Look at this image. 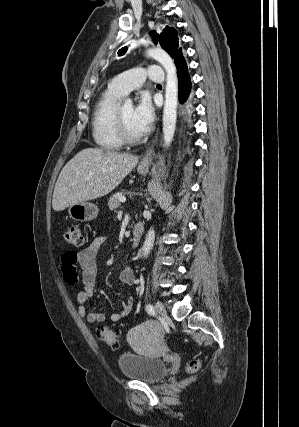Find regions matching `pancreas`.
Instances as JSON below:
<instances>
[{
	"mask_svg": "<svg viewBox=\"0 0 299 427\" xmlns=\"http://www.w3.org/2000/svg\"><path fill=\"white\" fill-rule=\"evenodd\" d=\"M121 197L120 194H113L108 202V207L110 210L114 211L116 210L119 206H120V200L119 198Z\"/></svg>",
	"mask_w": 299,
	"mask_h": 427,
	"instance_id": "pancreas-1",
	"label": "pancreas"
}]
</instances>
